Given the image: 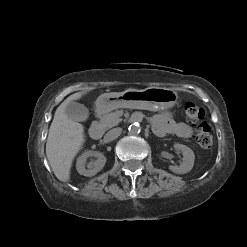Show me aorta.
Segmentation results:
<instances>
[{
	"mask_svg": "<svg viewBox=\"0 0 247 247\" xmlns=\"http://www.w3.org/2000/svg\"><path fill=\"white\" fill-rule=\"evenodd\" d=\"M128 131H129V134L130 135L136 136V135H138L141 132V126L137 122L132 123L129 126Z\"/></svg>",
	"mask_w": 247,
	"mask_h": 247,
	"instance_id": "1",
	"label": "aorta"
}]
</instances>
